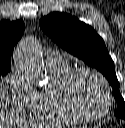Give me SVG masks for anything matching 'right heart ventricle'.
Segmentation results:
<instances>
[{
	"label": "right heart ventricle",
	"instance_id": "1",
	"mask_svg": "<svg viewBox=\"0 0 125 128\" xmlns=\"http://www.w3.org/2000/svg\"><path fill=\"white\" fill-rule=\"evenodd\" d=\"M51 85L37 91L30 106L32 114L42 120L57 124L75 125L83 121L76 118L65 106L60 95V86L71 69L66 62L47 64Z\"/></svg>",
	"mask_w": 125,
	"mask_h": 128
}]
</instances>
